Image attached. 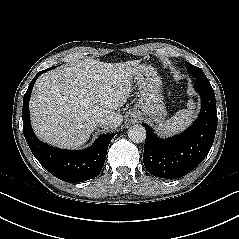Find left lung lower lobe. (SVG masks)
Returning <instances> with one entry per match:
<instances>
[{
  "label": "left lung lower lobe",
  "mask_w": 239,
  "mask_h": 239,
  "mask_svg": "<svg viewBox=\"0 0 239 239\" xmlns=\"http://www.w3.org/2000/svg\"><path fill=\"white\" fill-rule=\"evenodd\" d=\"M194 88L201 96V112L185 132L161 140L143 123L147 132L143 162L154 176L183 177L204 160L212 147L217 129L215 93L210 83L196 82Z\"/></svg>",
  "instance_id": "obj_1"
}]
</instances>
